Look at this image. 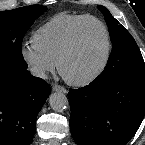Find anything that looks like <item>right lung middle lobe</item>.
<instances>
[{
    "instance_id": "right-lung-middle-lobe-1",
    "label": "right lung middle lobe",
    "mask_w": 145,
    "mask_h": 145,
    "mask_svg": "<svg viewBox=\"0 0 145 145\" xmlns=\"http://www.w3.org/2000/svg\"><path fill=\"white\" fill-rule=\"evenodd\" d=\"M47 8L41 5L0 12V77L17 75L28 67L22 55V39Z\"/></svg>"
}]
</instances>
